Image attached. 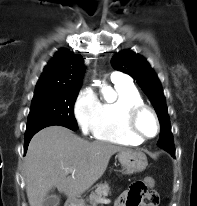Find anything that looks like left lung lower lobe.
Masks as SVG:
<instances>
[{
    "mask_svg": "<svg viewBox=\"0 0 197 206\" xmlns=\"http://www.w3.org/2000/svg\"><path fill=\"white\" fill-rule=\"evenodd\" d=\"M168 151L173 157H175V150L174 149H168Z\"/></svg>",
    "mask_w": 197,
    "mask_h": 206,
    "instance_id": "1",
    "label": "left lung lower lobe"
}]
</instances>
